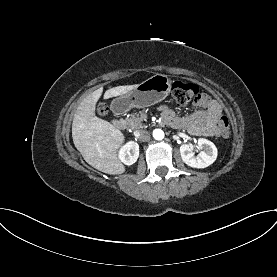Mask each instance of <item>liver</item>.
Listing matches in <instances>:
<instances>
[{"instance_id":"liver-1","label":"liver","mask_w":277,"mask_h":277,"mask_svg":"<svg viewBox=\"0 0 277 277\" xmlns=\"http://www.w3.org/2000/svg\"><path fill=\"white\" fill-rule=\"evenodd\" d=\"M138 85L117 86L108 89L104 98L124 95ZM103 93L99 88L87 95L78 105L72 122V138L84 160L95 169L110 175L125 172L118 150L125 138L113 124L95 115L96 103Z\"/></svg>"}]
</instances>
